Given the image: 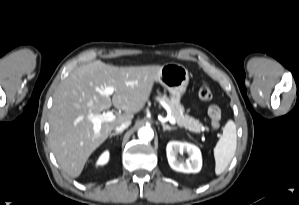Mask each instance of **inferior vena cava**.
I'll list each match as a JSON object with an SVG mask.
<instances>
[{
    "label": "inferior vena cava",
    "instance_id": "inferior-vena-cava-1",
    "mask_svg": "<svg viewBox=\"0 0 299 205\" xmlns=\"http://www.w3.org/2000/svg\"><path fill=\"white\" fill-rule=\"evenodd\" d=\"M130 124H131V121H130V120H127V121L121 123L120 125L116 126V127H115V131H116V132H122V131H124L126 128H128V127L130 126Z\"/></svg>",
    "mask_w": 299,
    "mask_h": 205
}]
</instances>
